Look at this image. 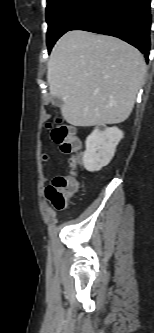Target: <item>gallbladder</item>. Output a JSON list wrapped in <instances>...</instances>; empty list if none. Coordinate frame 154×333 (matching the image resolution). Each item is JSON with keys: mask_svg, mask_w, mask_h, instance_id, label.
<instances>
[{"mask_svg": "<svg viewBox=\"0 0 154 333\" xmlns=\"http://www.w3.org/2000/svg\"><path fill=\"white\" fill-rule=\"evenodd\" d=\"M52 103L57 107H61L63 104V101L58 97H54L52 100Z\"/></svg>", "mask_w": 154, "mask_h": 333, "instance_id": "bac80fb5", "label": "gallbladder"}]
</instances>
